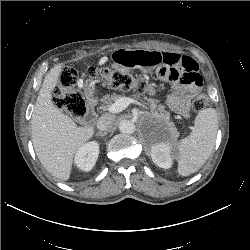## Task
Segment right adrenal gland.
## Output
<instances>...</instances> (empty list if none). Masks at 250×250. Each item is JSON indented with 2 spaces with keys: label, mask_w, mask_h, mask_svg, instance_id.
Wrapping results in <instances>:
<instances>
[{
  "label": "right adrenal gland",
  "mask_w": 250,
  "mask_h": 250,
  "mask_svg": "<svg viewBox=\"0 0 250 250\" xmlns=\"http://www.w3.org/2000/svg\"><path fill=\"white\" fill-rule=\"evenodd\" d=\"M107 133H108V131H105V132H98V133H96V136H102V137H104V136L107 135Z\"/></svg>",
  "instance_id": "obj_1"
}]
</instances>
